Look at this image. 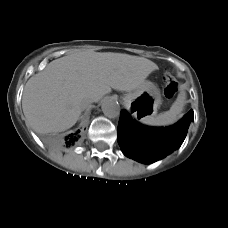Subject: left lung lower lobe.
I'll use <instances>...</instances> for the list:
<instances>
[{"label": "left lung lower lobe", "instance_id": "1", "mask_svg": "<svg viewBox=\"0 0 228 228\" xmlns=\"http://www.w3.org/2000/svg\"><path fill=\"white\" fill-rule=\"evenodd\" d=\"M193 120L194 113L190 110L174 125L154 128L132 120L129 114L122 110L118 124V143L127 157L142 163H152L182 145Z\"/></svg>", "mask_w": 228, "mask_h": 228}]
</instances>
